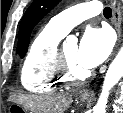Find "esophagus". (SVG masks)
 Instances as JSON below:
<instances>
[{
    "mask_svg": "<svg viewBox=\"0 0 123 113\" xmlns=\"http://www.w3.org/2000/svg\"><path fill=\"white\" fill-rule=\"evenodd\" d=\"M112 7H113V14H112V21L114 24V27L117 31V36H118V44L121 41V10L120 7L117 5L115 1H112ZM82 95L84 96H93L94 93L89 90H85L82 92Z\"/></svg>",
    "mask_w": 123,
    "mask_h": 113,
    "instance_id": "obj_1",
    "label": "esophagus"
}]
</instances>
